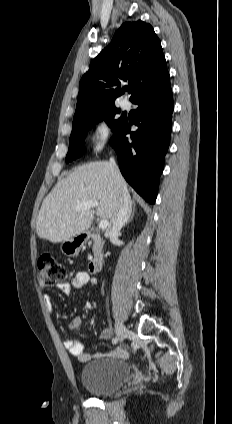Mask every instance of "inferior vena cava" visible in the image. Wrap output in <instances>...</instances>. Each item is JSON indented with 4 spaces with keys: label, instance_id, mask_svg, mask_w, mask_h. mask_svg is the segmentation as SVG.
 Masks as SVG:
<instances>
[{
    "label": "inferior vena cava",
    "instance_id": "obj_1",
    "mask_svg": "<svg viewBox=\"0 0 232 424\" xmlns=\"http://www.w3.org/2000/svg\"><path fill=\"white\" fill-rule=\"evenodd\" d=\"M112 172L115 176H120L119 169L115 163L114 158L109 161ZM132 210L131 197L128 193H123L122 198L119 200L118 207L110 220V225L106 230L105 236L111 237L117 235L122 227L128 221Z\"/></svg>",
    "mask_w": 232,
    "mask_h": 424
}]
</instances>
